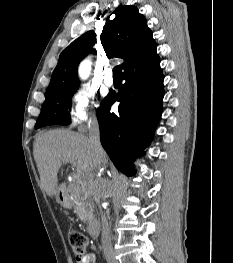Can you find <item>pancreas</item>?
<instances>
[{
  "mask_svg": "<svg viewBox=\"0 0 233 263\" xmlns=\"http://www.w3.org/2000/svg\"><path fill=\"white\" fill-rule=\"evenodd\" d=\"M71 194L74 199L75 213L78 218L86 224H91L94 221V208L92 203L87 201L86 196L82 193L79 186H76V188L71 191Z\"/></svg>",
  "mask_w": 233,
  "mask_h": 263,
  "instance_id": "obj_1",
  "label": "pancreas"
}]
</instances>
